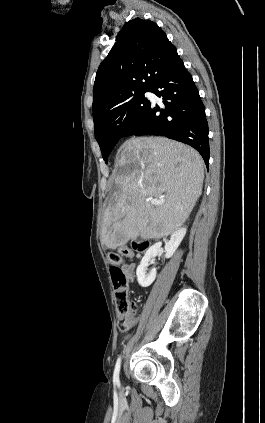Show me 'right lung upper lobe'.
<instances>
[{
  "mask_svg": "<svg viewBox=\"0 0 265 423\" xmlns=\"http://www.w3.org/2000/svg\"><path fill=\"white\" fill-rule=\"evenodd\" d=\"M176 55L156 23L140 18L127 22L96 73L94 122L124 99L149 90Z\"/></svg>",
  "mask_w": 265,
  "mask_h": 423,
  "instance_id": "obj_1",
  "label": "right lung upper lobe"
}]
</instances>
